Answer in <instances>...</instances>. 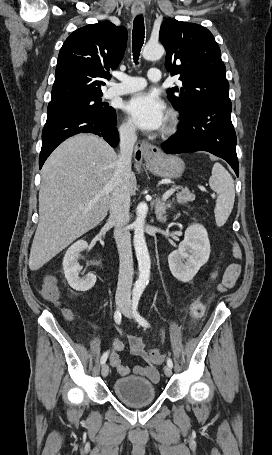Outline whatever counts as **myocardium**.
I'll return each mask as SVG.
<instances>
[{"mask_svg": "<svg viewBox=\"0 0 272 455\" xmlns=\"http://www.w3.org/2000/svg\"><path fill=\"white\" fill-rule=\"evenodd\" d=\"M178 127V117L177 114L173 111L169 112L167 123L164 127L163 133L164 135H171L173 134Z\"/></svg>", "mask_w": 272, "mask_h": 455, "instance_id": "myocardium-1", "label": "myocardium"}]
</instances>
